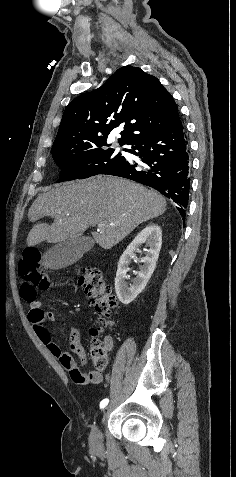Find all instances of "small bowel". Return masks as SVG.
I'll use <instances>...</instances> for the list:
<instances>
[{
    "mask_svg": "<svg viewBox=\"0 0 236 477\" xmlns=\"http://www.w3.org/2000/svg\"><path fill=\"white\" fill-rule=\"evenodd\" d=\"M28 318L38 338L43 342L51 354L60 360L62 366L69 373L74 383L98 384L103 381V375L99 371L83 373L78 368L75 356L83 365H85L87 362L85 349L79 342V337L82 333V329L80 327H74L70 333L71 349L74 353L73 354L70 351L62 349L61 346L53 339L48 324L55 321L56 315L54 312L44 310L43 304L39 301H35L29 306ZM104 347L107 352H110L113 348V340L109 337L106 338L104 341Z\"/></svg>",
    "mask_w": 236,
    "mask_h": 477,
    "instance_id": "1",
    "label": "small bowel"
}]
</instances>
